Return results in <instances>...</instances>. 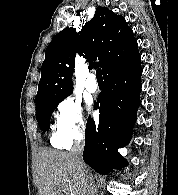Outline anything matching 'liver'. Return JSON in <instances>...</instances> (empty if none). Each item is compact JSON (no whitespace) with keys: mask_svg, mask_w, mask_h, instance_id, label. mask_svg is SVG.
<instances>
[{"mask_svg":"<svg viewBox=\"0 0 178 195\" xmlns=\"http://www.w3.org/2000/svg\"><path fill=\"white\" fill-rule=\"evenodd\" d=\"M89 183V178L78 170L72 153L40 148L37 155L39 195H90Z\"/></svg>","mask_w":178,"mask_h":195,"instance_id":"6515ba94","label":"liver"}]
</instances>
